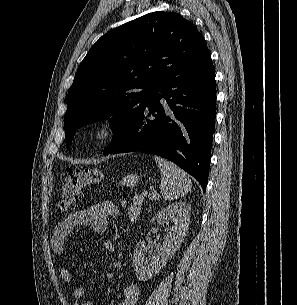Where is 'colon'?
Wrapping results in <instances>:
<instances>
[{
	"mask_svg": "<svg viewBox=\"0 0 297 305\" xmlns=\"http://www.w3.org/2000/svg\"><path fill=\"white\" fill-rule=\"evenodd\" d=\"M102 179L99 169L76 168L66 172L60 188L59 210L67 212L77 208L82 199V188L97 184Z\"/></svg>",
	"mask_w": 297,
	"mask_h": 305,
	"instance_id": "obj_1",
	"label": "colon"
}]
</instances>
